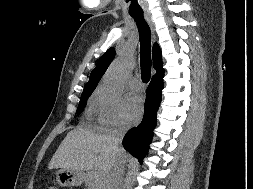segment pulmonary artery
Masks as SVG:
<instances>
[{
    "label": "pulmonary artery",
    "mask_w": 253,
    "mask_h": 189,
    "mask_svg": "<svg viewBox=\"0 0 253 189\" xmlns=\"http://www.w3.org/2000/svg\"><path fill=\"white\" fill-rule=\"evenodd\" d=\"M131 87L133 89H140L141 88V83L138 80V78H134V79L131 80Z\"/></svg>",
    "instance_id": "e3ab8cb5"
}]
</instances>
